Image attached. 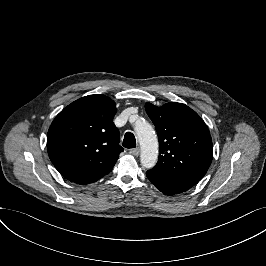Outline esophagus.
<instances>
[{
	"mask_svg": "<svg viewBox=\"0 0 266 266\" xmlns=\"http://www.w3.org/2000/svg\"><path fill=\"white\" fill-rule=\"evenodd\" d=\"M139 152H140L139 148H134L129 151V153L132 154L133 156H138Z\"/></svg>",
	"mask_w": 266,
	"mask_h": 266,
	"instance_id": "esophagus-1",
	"label": "esophagus"
}]
</instances>
